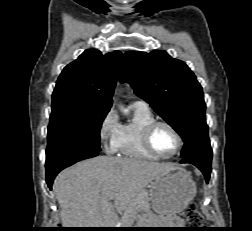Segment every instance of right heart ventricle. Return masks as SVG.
<instances>
[{
	"instance_id": "1",
	"label": "right heart ventricle",
	"mask_w": 252,
	"mask_h": 231,
	"mask_svg": "<svg viewBox=\"0 0 252 231\" xmlns=\"http://www.w3.org/2000/svg\"><path fill=\"white\" fill-rule=\"evenodd\" d=\"M132 109V119L120 126L115 151L120 155L136 159H157L145 149L142 141L143 129L155 120L154 115L149 107L133 105Z\"/></svg>"
}]
</instances>
